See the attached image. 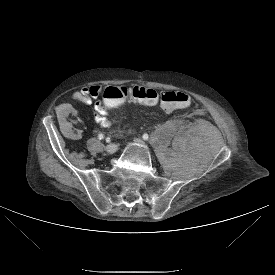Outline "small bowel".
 <instances>
[{
  "label": "small bowel",
  "instance_id": "1",
  "mask_svg": "<svg viewBox=\"0 0 275 275\" xmlns=\"http://www.w3.org/2000/svg\"><path fill=\"white\" fill-rule=\"evenodd\" d=\"M103 94V88L100 85L84 86L72 94V99L87 105L94 103L95 120L102 127H110L111 122L108 118L109 111L103 108L102 102L104 98H100ZM58 118L61 120L60 125L65 135L69 138H76L80 134L72 130L70 121L73 118L74 112L70 104H63L57 112Z\"/></svg>",
  "mask_w": 275,
  "mask_h": 275
}]
</instances>
